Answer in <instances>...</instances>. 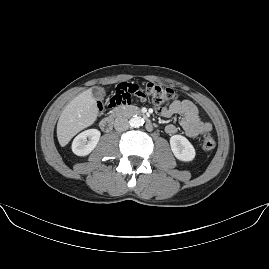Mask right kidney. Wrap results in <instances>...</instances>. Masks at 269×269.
Segmentation results:
<instances>
[{
	"mask_svg": "<svg viewBox=\"0 0 269 269\" xmlns=\"http://www.w3.org/2000/svg\"><path fill=\"white\" fill-rule=\"evenodd\" d=\"M100 131L97 129H88L77 135L72 143V151L78 156H86L96 147ZM87 138L89 140H87Z\"/></svg>",
	"mask_w": 269,
	"mask_h": 269,
	"instance_id": "ca27d5eb",
	"label": "right kidney"
}]
</instances>
